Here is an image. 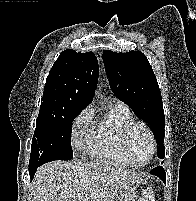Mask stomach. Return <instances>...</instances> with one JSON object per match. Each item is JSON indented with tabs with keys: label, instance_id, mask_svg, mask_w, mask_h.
<instances>
[{
	"label": "stomach",
	"instance_id": "obj_1",
	"mask_svg": "<svg viewBox=\"0 0 196 201\" xmlns=\"http://www.w3.org/2000/svg\"><path fill=\"white\" fill-rule=\"evenodd\" d=\"M137 187L135 184H126L118 190V201H136Z\"/></svg>",
	"mask_w": 196,
	"mask_h": 201
}]
</instances>
